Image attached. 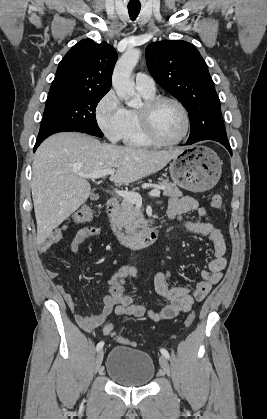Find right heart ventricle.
<instances>
[{"label": "right heart ventricle", "mask_w": 267, "mask_h": 419, "mask_svg": "<svg viewBox=\"0 0 267 419\" xmlns=\"http://www.w3.org/2000/svg\"><path fill=\"white\" fill-rule=\"evenodd\" d=\"M140 93L145 100L155 97V93ZM122 140L130 147H151L154 145L142 129L138 109H126V126Z\"/></svg>", "instance_id": "1"}]
</instances>
